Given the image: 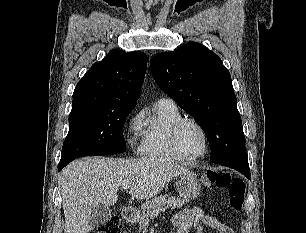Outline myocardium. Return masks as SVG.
I'll use <instances>...</instances> for the list:
<instances>
[{
    "mask_svg": "<svg viewBox=\"0 0 306 233\" xmlns=\"http://www.w3.org/2000/svg\"><path fill=\"white\" fill-rule=\"evenodd\" d=\"M191 123L193 125H195L202 133L203 138H204V151L202 152L201 155L196 156V157H187L185 156L180 148H179V144H178V138H179V133L180 130L182 129V127L185 124ZM170 146L171 149L173 151V153L175 154V156L182 161L185 162H196L199 161L203 158H205L209 152L210 149V141H209V136L208 133L206 131V129L204 128V126L196 119L191 118V117H182L180 118L177 122L174 123V125L171 128L170 131Z\"/></svg>",
    "mask_w": 306,
    "mask_h": 233,
    "instance_id": "1",
    "label": "myocardium"
}]
</instances>
